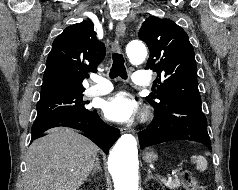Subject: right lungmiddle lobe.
<instances>
[{"label": "right lung middle lobe", "mask_w": 238, "mask_h": 190, "mask_svg": "<svg viewBox=\"0 0 238 190\" xmlns=\"http://www.w3.org/2000/svg\"><path fill=\"white\" fill-rule=\"evenodd\" d=\"M82 92L40 99L37 103L36 119L59 114L87 112L82 100Z\"/></svg>", "instance_id": "right-lung-middle-lobe-1"}]
</instances>
